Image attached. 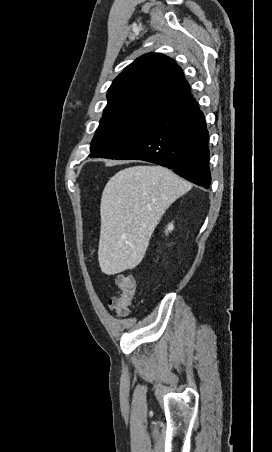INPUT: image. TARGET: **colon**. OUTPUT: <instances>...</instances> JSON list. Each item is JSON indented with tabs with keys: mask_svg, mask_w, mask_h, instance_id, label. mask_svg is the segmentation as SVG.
Masks as SVG:
<instances>
[{
	"mask_svg": "<svg viewBox=\"0 0 272 452\" xmlns=\"http://www.w3.org/2000/svg\"><path fill=\"white\" fill-rule=\"evenodd\" d=\"M115 283L119 292L110 298L109 307L117 315L126 316L130 313L136 295V280L131 275L119 274L115 278Z\"/></svg>",
	"mask_w": 272,
	"mask_h": 452,
	"instance_id": "obj_1",
	"label": "colon"
}]
</instances>
